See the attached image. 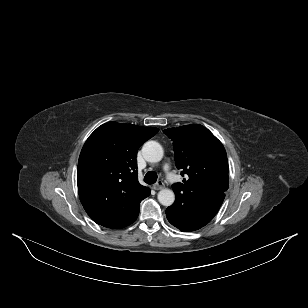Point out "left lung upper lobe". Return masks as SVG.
<instances>
[{"instance_id":"5c2ea615","label":"left lung upper lobe","mask_w":308,"mask_h":308,"mask_svg":"<svg viewBox=\"0 0 308 308\" xmlns=\"http://www.w3.org/2000/svg\"><path fill=\"white\" fill-rule=\"evenodd\" d=\"M174 144L176 167L187 175L174 184V205L180 208L207 201L228 189V160L222 143L199 124L163 131Z\"/></svg>"}]
</instances>
